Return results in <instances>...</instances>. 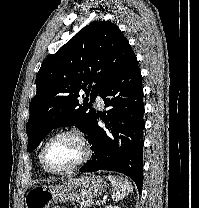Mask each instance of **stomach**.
Listing matches in <instances>:
<instances>
[{
  "label": "stomach",
  "instance_id": "1",
  "mask_svg": "<svg viewBox=\"0 0 199 208\" xmlns=\"http://www.w3.org/2000/svg\"><path fill=\"white\" fill-rule=\"evenodd\" d=\"M107 187V182L96 175L71 178L55 186L32 188L25 196V206L26 208H50L58 202L88 200L102 195Z\"/></svg>",
  "mask_w": 199,
  "mask_h": 208
}]
</instances>
